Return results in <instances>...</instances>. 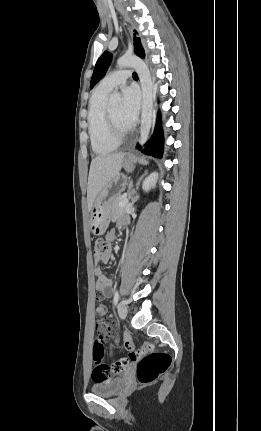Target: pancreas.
<instances>
[{
  "label": "pancreas",
  "mask_w": 261,
  "mask_h": 431,
  "mask_svg": "<svg viewBox=\"0 0 261 431\" xmlns=\"http://www.w3.org/2000/svg\"><path fill=\"white\" fill-rule=\"evenodd\" d=\"M124 199V196L118 195L115 197V199L112 201V205H111V212H112V217L116 218L118 217L120 214L125 213L126 209L124 207H120L119 203Z\"/></svg>",
  "instance_id": "1"
}]
</instances>
